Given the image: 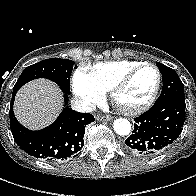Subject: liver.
I'll use <instances>...</instances> for the list:
<instances>
[{
  "mask_svg": "<svg viewBox=\"0 0 196 196\" xmlns=\"http://www.w3.org/2000/svg\"><path fill=\"white\" fill-rule=\"evenodd\" d=\"M63 106L62 92L47 79H36L17 93L14 113L18 121L31 130L42 129L52 123Z\"/></svg>",
  "mask_w": 196,
  "mask_h": 196,
  "instance_id": "1",
  "label": "liver"
}]
</instances>
